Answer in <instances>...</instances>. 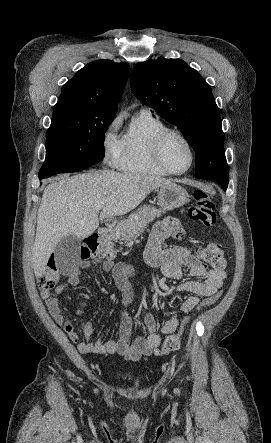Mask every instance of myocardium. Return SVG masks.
I'll list each match as a JSON object with an SVG mask.
<instances>
[{
	"instance_id": "1",
	"label": "myocardium",
	"mask_w": 271,
	"mask_h": 443,
	"mask_svg": "<svg viewBox=\"0 0 271 443\" xmlns=\"http://www.w3.org/2000/svg\"><path fill=\"white\" fill-rule=\"evenodd\" d=\"M171 135L179 136L181 139H183L185 141V143L189 147V150L191 153V162H190L189 166L183 170L172 169L171 167H169V165L166 163V161L163 157V145H164L165 141L167 140V138ZM152 152H153V156H154L156 163L169 174H174V175L184 174V173L188 172L189 170H191L195 164L196 152H195V148H194L191 140L184 133H182L181 131H179L177 129L166 128V129L162 130L160 133H158V135L155 137L154 142H153Z\"/></svg>"
}]
</instances>
